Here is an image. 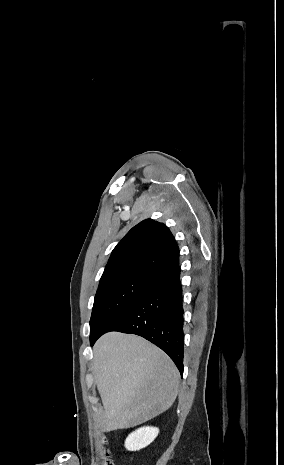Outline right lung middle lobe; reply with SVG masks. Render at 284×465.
<instances>
[{
    "instance_id": "dd1d6c3e",
    "label": "right lung middle lobe",
    "mask_w": 284,
    "mask_h": 465,
    "mask_svg": "<svg viewBox=\"0 0 284 465\" xmlns=\"http://www.w3.org/2000/svg\"><path fill=\"white\" fill-rule=\"evenodd\" d=\"M152 282L153 279L133 275L101 280L90 319V340L98 336L105 326Z\"/></svg>"
}]
</instances>
